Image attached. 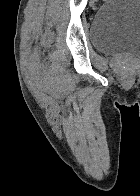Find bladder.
Listing matches in <instances>:
<instances>
[{
    "mask_svg": "<svg viewBox=\"0 0 140 196\" xmlns=\"http://www.w3.org/2000/svg\"><path fill=\"white\" fill-rule=\"evenodd\" d=\"M91 42L103 53L140 56V0H106L93 17Z\"/></svg>",
    "mask_w": 140,
    "mask_h": 196,
    "instance_id": "31cf9c89",
    "label": "bladder"
}]
</instances>
